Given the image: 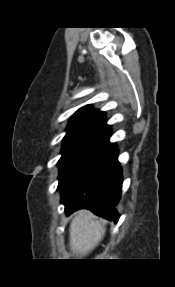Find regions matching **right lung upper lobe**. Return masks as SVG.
I'll return each mask as SVG.
<instances>
[{"label":"right lung upper lobe","mask_w":175,"mask_h":287,"mask_svg":"<svg viewBox=\"0 0 175 287\" xmlns=\"http://www.w3.org/2000/svg\"><path fill=\"white\" fill-rule=\"evenodd\" d=\"M93 126L109 127L106 124V114L93 109L90 105H86L74 113L69 121L67 130Z\"/></svg>","instance_id":"right-lung-upper-lobe-1"}]
</instances>
